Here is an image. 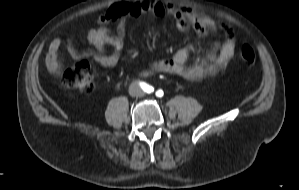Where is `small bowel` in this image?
<instances>
[{
	"label": "small bowel",
	"instance_id": "1",
	"mask_svg": "<svg viewBox=\"0 0 299 190\" xmlns=\"http://www.w3.org/2000/svg\"><path fill=\"white\" fill-rule=\"evenodd\" d=\"M148 13L156 17L166 14L173 16L177 20V29L180 32L189 26H192L200 35L205 34L208 30L217 29L214 20L206 16H199L186 8L165 5L158 0H126L110 5L99 18L100 21L115 25V32H111L107 26L92 28L88 33V40L94 50L79 51L74 43L69 41L67 51L76 60L93 59L102 66H114L119 61L124 47L126 17H138ZM224 32L225 40L223 43L216 46L205 60L188 65L190 46L184 45L169 59H150V70L177 75L190 81L215 75L227 66L235 51L236 44L233 32L229 28H225ZM61 45L62 41L59 38L52 40L49 45L46 62L51 71L58 68L57 58ZM107 45L112 47L110 53L105 51Z\"/></svg>",
	"mask_w": 299,
	"mask_h": 190
}]
</instances>
